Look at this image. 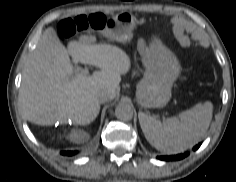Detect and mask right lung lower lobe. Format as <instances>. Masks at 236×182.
<instances>
[{"instance_id":"right-lung-lower-lobe-1","label":"right lung lower lobe","mask_w":236,"mask_h":182,"mask_svg":"<svg viewBox=\"0 0 236 182\" xmlns=\"http://www.w3.org/2000/svg\"><path fill=\"white\" fill-rule=\"evenodd\" d=\"M76 152H73V151H64V152H61L62 155H67V156H71V155H74Z\"/></svg>"}]
</instances>
